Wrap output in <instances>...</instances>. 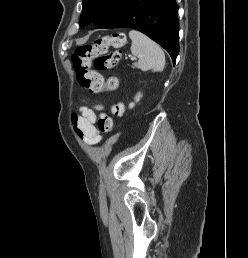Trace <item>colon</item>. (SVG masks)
Instances as JSON below:
<instances>
[{
	"instance_id": "obj_1",
	"label": "colon",
	"mask_w": 248,
	"mask_h": 258,
	"mask_svg": "<svg viewBox=\"0 0 248 258\" xmlns=\"http://www.w3.org/2000/svg\"><path fill=\"white\" fill-rule=\"evenodd\" d=\"M125 35L122 32H113L99 38L92 44H85L77 47L71 57L73 69L77 82L85 89L94 94H104L116 88L114 80L106 81L96 70H108L116 65L122 57V47L125 45ZM109 47L117 48L114 52H108ZM124 104L118 102L112 105L111 113L114 117H121L124 114ZM97 126L100 132L109 133L114 128L113 117L107 113L100 114Z\"/></svg>"
}]
</instances>
